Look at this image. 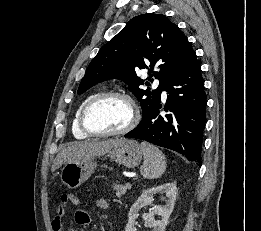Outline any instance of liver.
Wrapping results in <instances>:
<instances>
[{"instance_id":"obj_1","label":"liver","mask_w":261,"mask_h":231,"mask_svg":"<svg viewBox=\"0 0 261 231\" xmlns=\"http://www.w3.org/2000/svg\"><path fill=\"white\" fill-rule=\"evenodd\" d=\"M120 139H109L104 141L92 142H75L65 145L57 154L51 171L54 172L63 164L69 162H82L94 158L95 156H102L108 153L116 144L121 142Z\"/></svg>"}]
</instances>
